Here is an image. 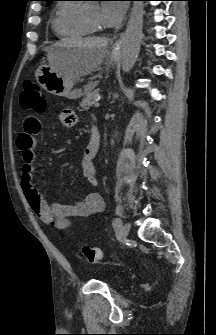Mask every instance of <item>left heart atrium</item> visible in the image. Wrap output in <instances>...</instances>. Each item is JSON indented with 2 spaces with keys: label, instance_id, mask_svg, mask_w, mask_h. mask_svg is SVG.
I'll list each match as a JSON object with an SVG mask.
<instances>
[{
  "label": "left heart atrium",
  "instance_id": "left-heart-atrium-1",
  "mask_svg": "<svg viewBox=\"0 0 216 335\" xmlns=\"http://www.w3.org/2000/svg\"><path fill=\"white\" fill-rule=\"evenodd\" d=\"M126 12L124 4L118 1H104L99 8L102 27L113 29L120 25Z\"/></svg>",
  "mask_w": 216,
  "mask_h": 335
}]
</instances>
